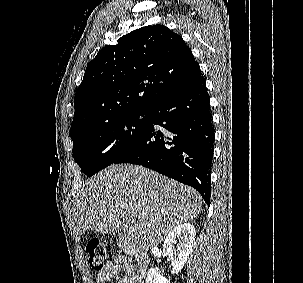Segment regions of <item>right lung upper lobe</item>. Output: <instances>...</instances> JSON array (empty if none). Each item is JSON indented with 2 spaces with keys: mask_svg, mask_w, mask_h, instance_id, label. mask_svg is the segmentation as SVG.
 I'll list each match as a JSON object with an SVG mask.
<instances>
[{
  "mask_svg": "<svg viewBox=\"0 0 303 283\" xmlns=\"http://www.w3.org/2000/svg\"><path fill=\"white\" fill-rule=\"evenodd\" d=\"M201 76L181 36L163 25L134 30L88 64L74 98L71 134L130 112L149 111Z\"/></svg>",
  "mask_w": 303,
  "mask_h": 283,
  "instance_id": "cb5924a9",
  "label": "right lung upper lobe"
}]
</instances>
